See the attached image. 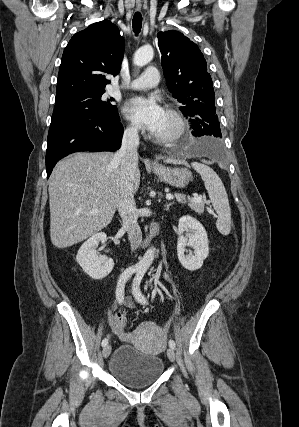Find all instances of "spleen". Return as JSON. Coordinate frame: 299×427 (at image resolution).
<instances>
[{
	"label": "spleen",
	"mask_w": 299,
	"mask_h": 427,
	"mask_svg": "<svg viewBox=\"0 0 299 427\" xmlns=\"http://www.w3.org/2000/svg\"><path fill=\"white\" fill-rule=\"evenodd\" d=\"M192 167L200 174L212 206L218 214L216 221L218 231L223 235H228L231 230V209L221 179L212 168L205 164L193 162Z\"/></svg>",
	"instance_id": "3e777b00"
}]
</instances>
